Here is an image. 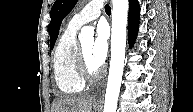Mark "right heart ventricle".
<instances>
[{"label": "right heart ventricle", "instance_id": "obj_1", "mask_svg": "<svg viewBox=\"0 0 193 112\" xmlns=\"http://www.w3.org/2000/svg\"><path fill=\"white\" fill-rule=\"evenodd\" d=\"M77 28L68 25L59 37L53 54L55 82L59 90L68 95L82 92L85 82L76 69Z\"/></svg>", "mask_w": 193, "mask_h": 112}]
</instances>
